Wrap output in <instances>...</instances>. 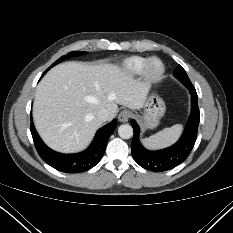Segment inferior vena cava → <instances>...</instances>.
Returning a JSON list of instances; mask_svg holds the SVG:
<instances>
[{"label": "inferior vena cava", "instance_id": "602c4592", "mask_svg": "<svg viewBox=\"0 0 233 233\" xmlns=\"http://www.w3.org/2000/svg\"><path fill=\"white\" fill-rule=\"evenodd\" d=\"M96 118L100 121V122H105L109 119V112L106 109H100L97 112Z\"/></svg>", "mask_w": 233, "mask_h": 233}]
</instances>
